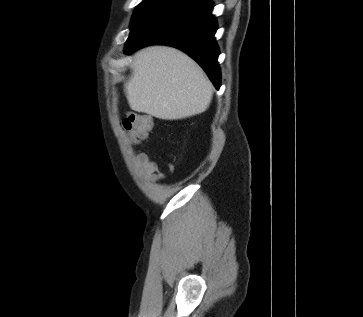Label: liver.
Masks as SVG:
<instances>
[{
	"label": "liver",
	"mask_w": 363,
	"mask_h": 317,
	"mask_svg": "<svg viewBox=\"0 0 363 317\" xmlns=\"http://www.w3.org/2000/svg\"><path fill=\"white\" fill-rule=\"evenodd\" d=\"M125 94L132 110L164 120L198 115L210 105L213 86L198 64L166 46L143 48L134 54Z\"/></svg>",
	"instance_id": "6515ba94"
}]
</instances>
